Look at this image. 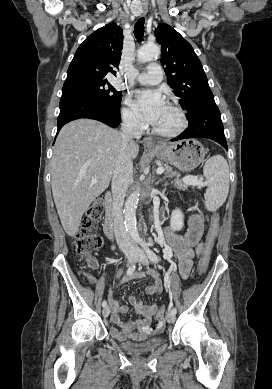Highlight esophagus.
<instances>
[{"mask_svg":"<svg viewBox=\"0 0 272 389\" xmlns=\"http://www.w3.org/2000/svg\"><path fill=\"white\" fill-rule=\"evenodd\" d=\"M146 11H147V8H146V7H143L141 13H142V14H145ZM143 144H144V146H145L146 148H155V147H157V145L155 144V142H154L151 138H149V137L144 138Z\"/></svg>","mask_w":272,"mask_h":389,"instance_id":"esophagus-1","label":"esophagus"}]
</instances>
